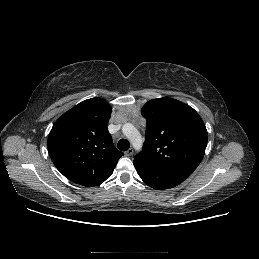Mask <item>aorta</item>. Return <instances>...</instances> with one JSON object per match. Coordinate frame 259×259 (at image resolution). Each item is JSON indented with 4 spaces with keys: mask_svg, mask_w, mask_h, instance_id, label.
Wrapping results in <instances>:
<instances>
[{
    "mask_svg": "<svg viewBox=\"0 0 259 259\" xmlns=\"http://www.w3.org/2000/svg\"><path fill=\"white\" fill-rule=\"evenodd\" d=\"M122 132L129 139L135 149L138 150L142 147V136L131 123L124 124Z\"/></svg>",
    "mask_w": 259,
    "mask_h": 259,
    "instance_id": "obj_1",
    "label": "aorta"
}]
</instances>
